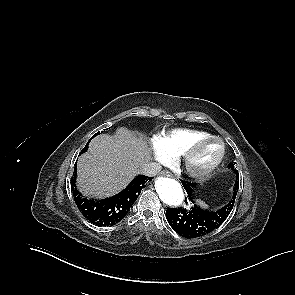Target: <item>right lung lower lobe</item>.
<instances>
[{"label":"right lung lower lobe","mask_w":295,"mask_h":295,"mask_svg":"<svg viewBox=\"0 0 295 295\" xmlns=\"http://www.w3.org/2000/svg\"><path fill=\"white\" fill-rule=\"evenodd\" d=\"M88 144L83 149L85 152ZM76 168L71 179V188L73 190L75 201L83 216L91 223L99 226H110L120 222L129 212L130 208L138 198L143 187L146 186L148 180L144 175H139L120 193L113 197L94 201L83 198L81 193L76 189Z\"/></svg>","instance_id":"1"}]
</instances>
